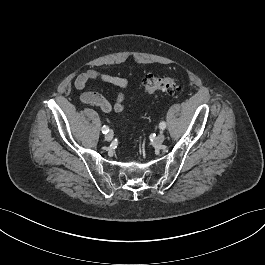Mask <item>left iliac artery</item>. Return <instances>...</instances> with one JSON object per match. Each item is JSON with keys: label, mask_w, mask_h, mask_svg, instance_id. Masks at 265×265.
I'll list each match as a JSON object with an SVG mask.
<instances>
[{"label": "left iliac artery", "mask_w": 265, "mask_h": 265, "mask_svg": "<svg viewBox=\"0 0 265 265\" xmlns=\"http://www.w3.org/2000/svg\"><path fill=\"white\" fill-rule=\"evenodd\" d=\"M159 127H160V129L164 130V129L166 128V123L162 121V122L159 124Z\"/></svg>", "instance_id": "left-iliac-artery-1"}]
</instances>
